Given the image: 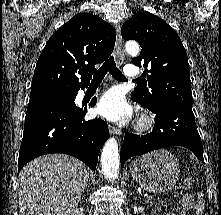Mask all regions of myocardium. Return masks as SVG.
Wrapping results in <instances>:
<instances>
[{
	"label": "myocardium",
	"instance_id": "obj_1",
	"mask_svg": "<svg viewBox=\"0 0 221 215\" xmlns=\"http://www.w3.org/2000/svg\"><path fill=\"white\" fill-rule=\"evenodd\" d=\"M154 125V119L149 114H144L140 117L138 123H137V130L144 132L150 130Z\"/></svg>",
	"mask_w": 221,
	"mask_h": 215
}]
</instances>
